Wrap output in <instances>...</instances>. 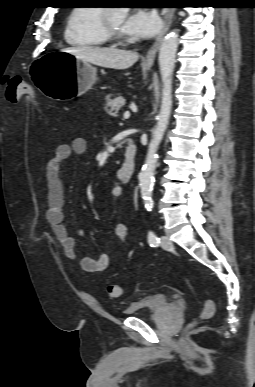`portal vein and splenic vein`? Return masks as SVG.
<instances>
[{
  "instance_id": "portal-vein-and-splenic-vein-1",
  "label": "portal vein and splenic vein",
  "mask_w": 255,
  "mask_h": 387,
  "mask_svg": "<svg viewBox=\"0 0 255 387\" xmlns=\"http://www.w3.org/2000/svg\"><path fill=\"white\" fill-rule=\"evenodd\" d=\"M129 117H130V112L129 111H125L124 118H129Z\"/></svg>"
}]
</instances>
